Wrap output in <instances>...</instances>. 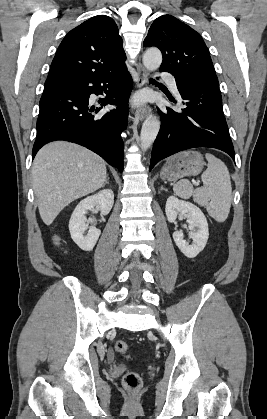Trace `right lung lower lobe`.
I'll list each match as a JSON object with an SVG mask.
<instances>
[{
    "instance_id": "right-lung-lower-lobe-1",
    "label": "right lung lower lobe",
    "mask_w": 267,
    "mask_h": 419,
    "mask_svg": "<svg viewBox=\"0 0 267 419\" xmlns=\"http://www.w3.org/2000/svg\"><path fill=\"white\" fill-rule=\"evenodd\" d=\"M103 88L106 97L101 99V105L115 104L117 109L104 115L91 114L94 110L98 113L102 107H89L90 94H100ZM131 89L132 78L124 67L104 76L46 81L40 99L32 157L45 144L65 140L92 150L122 171L121 133L127 126Z\"/></svg>"
}]
</instances>
